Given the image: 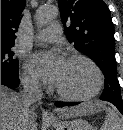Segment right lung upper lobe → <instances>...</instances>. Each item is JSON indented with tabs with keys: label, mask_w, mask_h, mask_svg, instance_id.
Segmentation results:
<instances>
[{
	"label": "right lung upper lobe",
	"mask_w": 123,
	"mask_h": 130,
	"mask_svg": "<svg viewBox=\"0 0 123 130\" xmlns=\"http://www.w3.org/2000/svg\"><path fill=\"white\" fill-rule=\"evenodd\" d=\"M25 0H1V45L13 46Z\"/></svg>",
	"instance_id": "right-lung-upper-lobe-1"
}]
</instances>
